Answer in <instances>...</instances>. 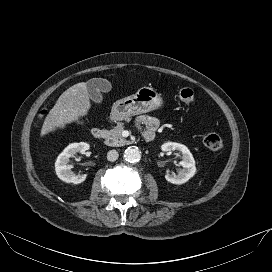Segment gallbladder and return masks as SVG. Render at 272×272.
I'll use <instances>...</instances> for the list:
<instances>
[{
	"instance_id": "obj_1",
	"label": "gallbladder",
	"mask_w": 272,
	"mask_h": 272,
	"mask_svg": "<svg viewBox=\"0 0 272 272\" xmlns=\"http://www.w3.org/2000/svg\"><path fill=\"white\" fill-rule=\"evenodd\" d=\"M111 85L109 81L102 78H93L87 82V90L90 99L96 104H102L103 102V95L101 91H108L110 90Z\"/></svg>"
}]
</instances>
